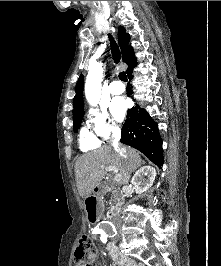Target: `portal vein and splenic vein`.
I'll use <instances>...</instances> for the list:
<instances>
[{
	"instance_id": "portal-vein-and-splenic-vein-1",
	"label": "portal vein and splenic vein",
	"mask_w": 221,
	"mask_h": 266,
	"mask_svg": "<svg viewBox=\"0 0 221 266\" xmlns=\"http://www.w3.org/2000/svg\"><path fill=\"white\" fill-rule=\"evenodd\" d=\"M102 169L106 171H113L115 173L114 180L116 182H119L121 180V175L118 173V169L116 167L108 166V167H102Z\"/></svg>"
}]
</instances>
